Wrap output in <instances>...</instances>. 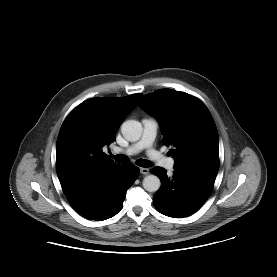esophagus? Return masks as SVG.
Listing matches in <instances>:
<instances>
[{
	"label": "esophagus",
	"instance_id": "1",
	"mask_svg": "<svg viewBox=\"0 0 277 277\" xmlns=\"http://www.w3.org/2000/svg\"><path fill=\"white\" fill-rule=\"evenodd\" d=\"M140 172H141L143 175H147V174H149L150 170H149L148 168L142 167V168H140Z\"/></svg>",
	"mask_w": 277,
	"mask_h": 277
}]
</instances>
